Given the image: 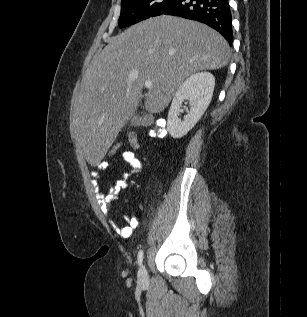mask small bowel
Wrapping results in <instances>:
<instances>
[{
  "label": "small bowel",
  "mask_w": 307,
  "mask_h": 317,
  "mask_svg": "<svg viewBox=\"0 0 307 317\" xmlns=\"http://www.w3.org/2000/svg\"><path fill=\"white\" fill-rule=\"evenodd\" d=\"M120 162H124L129 171L121 173V179L117 180L107 193H100L96 184V191L98 193V203L100 205L102 213L111 220V224L115 232H117L123 238H129L133 231L138 226V220L135 216H126L125 225H121L114 221L111 216V203L119 198L120 192L127 188L128 178L131 174H136L141 171L142 164L138 157L132 151H124L120 157L110 159L108 161H102L97 165V170L93 173V177L99 179L103 172L109 171Z\"/></svg>",
  "instance_id": "1"
}]
</instances>
